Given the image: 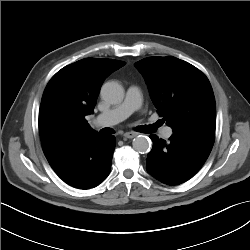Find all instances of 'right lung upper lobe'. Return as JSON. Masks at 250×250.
<instances>
[{
    "label": "right lung upper lobe",
    "instance_id": "cb5924a9",
    "mask_svg": "<svg viewBox=\"0 0 250 250\" xmlns=\"http://www.w3.org/2000/svg\"><path fill=\"white\" fill-rule=\"evenodd\" d=\"M125 62L85 58L59 70L44 91L39 132L46 158L71 143L97 133L86 116L94 107L102 83Z\"/></svg>",
    "mask_w": 250,
    "mask_h": 250
}]
</instances>
